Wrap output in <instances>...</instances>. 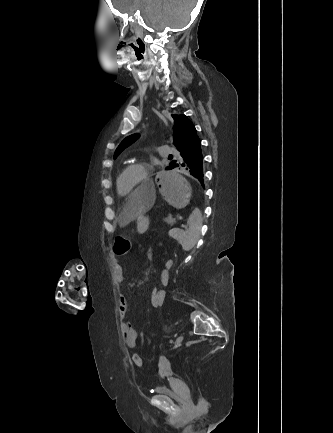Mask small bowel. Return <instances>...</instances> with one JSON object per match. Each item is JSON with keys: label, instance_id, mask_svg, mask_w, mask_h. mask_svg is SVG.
Here are the masks:
<instances>
[{"label": "small bowel", "instance_id": "c3829d8e", "mask_svg": "<svg viewBox=\"0 0 333 433\" xmlns=\"http://www.w3.org/2000/svg\"><path fill=\"white\" fill-rule=\"evenodd\" d=\"M113 253H115L114 249H113ZM114 256H115V254H114ZM153 257H154V252L152 249H149L147 251V258L149 260H152ZM113 268H114L116 280H117L118 284H121L123 281L124 269L118 260H116L114 262ZM169 279H170V273L164 267L160 273V284L162 286H167L169 283ZM155 289H157V288H155ZM157 292H159V294H160L159 299L163 305V303L165 301V297H166V292L164 289H157ZM127 311H128L127 298L125 296L121 295L119 297V314H120L122 319L126 316ZM121 334L123 337V341L128 348H136L138 345H140L142 343H147V344L150 343V336L147 332L135 331L131 327V325L128 324L126 321H122V323H121Z\"/></svg>", "mask_w": 333, "mask_h": 433}]
</instances>
